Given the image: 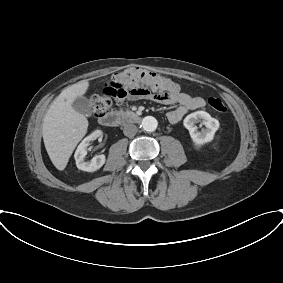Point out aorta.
<instances>
[{"label":"aorta","instance_id":"762f6f07","mask_svg":"<svg viewBox=\"0 0 283 283\" xmlns=\"http://www.w3.org/2000/svg\"><path fill=\"white\" fill-rule=\"evenodd\" d=\"M158 122L156 118L152 116H146L143 118L141 126L147 132H153L156 130Z\"/></svg>","mask_w":283,"mask_h":283}]
</instances>
